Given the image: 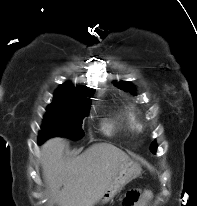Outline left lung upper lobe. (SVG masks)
Wrapping results in <instances>:
<instances>
[{
    "label": "left lung upper lobe",
    "mask_w": 197,
    "mask_h": 206,
    "mask_svg": "<svg viewBox=\"0 0 197 206\" xmlns=\"http://www.w3.org/2000/svg\"><path fill=\"white\" fill-rule=\"evenodd\" d=\"M116 86H118L119 88L126 90V91H130L133 93L134 91V86L128 82L122 81L121 83H116ZM157 149V144L155 142H153L151 144L150 150L152 151V153H155Z\"/></svg>",
    "instance_id": "left-lung-upper-lobe-1"
}]
</instances>
